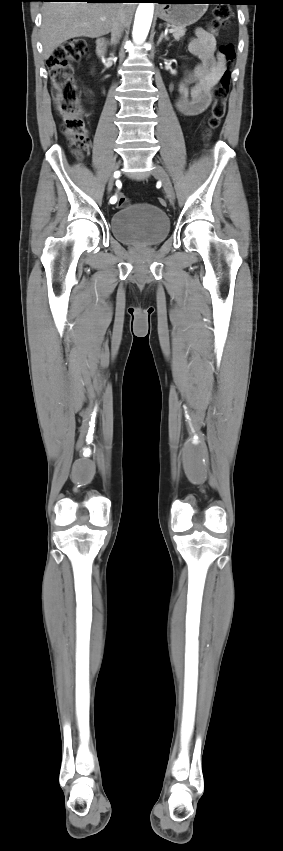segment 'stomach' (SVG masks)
<instances>
[{
  "label": "stomach",
  "instance_id": "obj_1",
  "mask_svg": "<svg viewBox=\"0 0 283 851\" xmlns=\"http://www.w3.org/2000/svg\"><path fill=\"white\" fill-rule=\"evenodd\" d=\"M208 0H163L157 7L160 19L186 27L197 22L208 8Z\"/></svg>",
  "mask_w": 283,
  "mask_h": 851
}]
</instances>
